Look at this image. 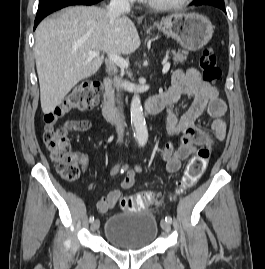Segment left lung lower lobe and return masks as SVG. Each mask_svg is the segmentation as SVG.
Wrapping results in <instances>:
<instances>
[{"instance_id": "0a47b994", "label": "left lung lower lobe", "mask_w": 265, "mask_h": 269, "mask_svg": "<svg viewBox=\"0 0 265 269\" xmlns=\"http://www.w3.org/2000/svg\"><path fill=\"white\" fill-rule=\"evenodd\" d=\"M202 4L215 6V7L220 8L224 12H226L224 0H200V1L193 3V5H202Z\"/></svg>"}]
</instances>
